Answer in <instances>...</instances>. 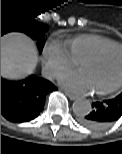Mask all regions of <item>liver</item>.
I'll return each instance as SVG.
<instances>
[{
    "mask_svg": "<svg viewBox=\"0 0 122 154\" xmlns=\"http://www.w3.org/2000/svg\"><path fill=\"white\" fill-rule=\"evenodd\" d=\"M38 51L32 40L21 34L1 38V76L18 80L32 74L38 63Z\"/></svg>",
    "mask_w": 122,
    "mask_h": 154,
    "instance_id": "liver-1",
    "label": "liver"
}]
</instances>
